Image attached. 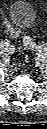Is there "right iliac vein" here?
<instances>
[{
	"label": "right iliac vein",
	"instance_id": "1",
	"mask_svg": "<svg viewBox=\"0 0 47 129\" xmlns=\"http://www.w3.org/2000/svg\"><path fill=\"white\" fill-rule=\"evenodd\" d=\"M9 49L8 46L4 45V46H0V50H1V53L7 51Z\"/></svg>",
	"mask_w": 47,
	"mask_h": 129
}]
</instances>
